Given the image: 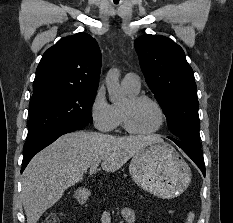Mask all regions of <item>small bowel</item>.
<instances>
[{"label": "small bowel", "mask_w": 233, "mask_h": 223, "mask_svg": "<svg viewBox=\"0 0 233 223\" xmlns=\"http://www.w3.org/2000/svg\"><path fill=\"white\" fill-rule=\"evenodd\" d=\"M121 217L125 223H135L134 211L129 207H124L121 210ZM104 223H109V217H105Z\"/></svg>", "instance_id": "c3829d8e"}]
</instances>
